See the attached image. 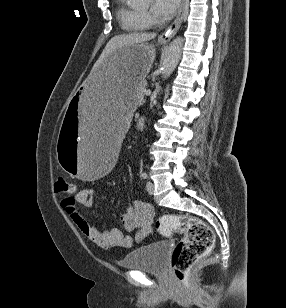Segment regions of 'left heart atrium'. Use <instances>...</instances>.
Returning <instances> with one entry per match:
<instances>
[{
  "label": "left heart atrium",
  "mask_w": 286,
  "mask_h": 308,
  "mask_svg": "<svg viewBox=\"0 0 286 308\" xmlns=\"http://www.w3.org/2000/svg\"><path fill=\"white\" fill-rule=\"evenodd\" d=\"M179 0H153L152 12L161 19L171 18L178 7Z\"/></svg>",
  "instance_id": "1"
}]
</instances>
